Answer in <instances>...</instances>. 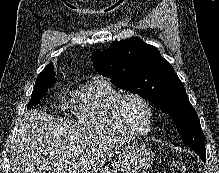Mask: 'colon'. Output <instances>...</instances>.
<instances>
[{
	"mask_svg": "<svg viewBox=\"0 0 219 173\" xmlns=\"http://www.w3.org/2000/svg\"><path fill=\"white\" fill-rule=\"evenodd\" d=\"M171 173H187V166L183 161L176 160L171 164Z\"/></svg>",
	"mask_w": 219,
	"mask_h": 173,
	"instance_id": "colon-1",
	"label": "colon"
}]
</instances>
